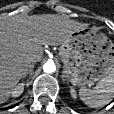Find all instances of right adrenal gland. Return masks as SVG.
I'll list each match as a JSON object with an SVG mask.
<instances>
[{
  "instance_id": "2a0ac1e0",
  "label": "right adrenal gland",
  "mask_w": 114,
  "mask_h": 114,
  "mask_svg": "<svg viewBox=\"0 0 114 114\" xmlns=\"http://www.w3.org/2000/svg\"><path fill=\"white\" fill-rule=\"evenodd\" d=\"M33 67L34 65H32L31 69L29 70V72L27 73V75L29 76V79L31 78V76L33 75ZM28 79V81H29Z\"/></svg>"
}]
</instances>
